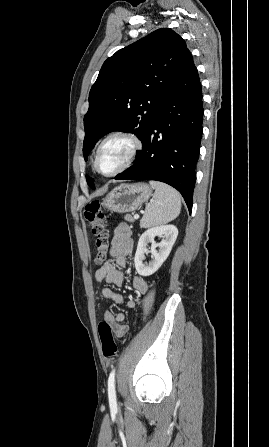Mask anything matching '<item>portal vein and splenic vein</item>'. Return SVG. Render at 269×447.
Wrapping results in <instances>:
<instances>
[{
  "instance_id": "obj_1",
  "label": "portal vein and splenic vein",
  "mask_w": 269,
  "mask_h": 447,
  "mask_svg": "<svg viewBox=\"0 0 269 447\" xmlns=\"http://www.w3.org/2000/svg\"><path fill=\"white\" fill-rule=\"evenodd\" d=\"M139 216L138 214H136V216H134V220H138Z\"/></svg>"
}]
</instances>
